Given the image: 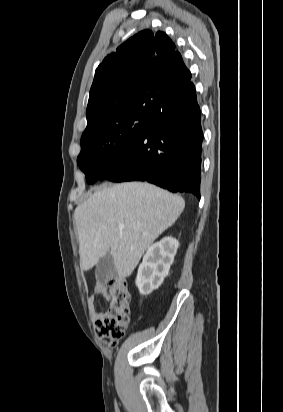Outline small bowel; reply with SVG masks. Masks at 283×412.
Here are the masks:
<instances>
[{"label":"small bowel","instance_id":"c3829d8e","mask_svg":"<svg viewBox=\"0 0 283 412\" xmlns=\"http://www.w3.org/2000/svg\"><path fill=\"white\" fill-rule=\"evenodd\" d=\"M106 288L103 284L97 283L94 287L93 293L88 297L87 303L90 315L92 319L96 320L99 316L103 314L97 310V296H105Z\"/></svg>","mask_w":283,"mask_h":412}]
</instances>
